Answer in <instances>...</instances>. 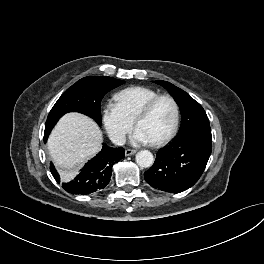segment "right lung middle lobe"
Wrapping results in <instances>:
<instances>
[{"label": "right lung middle lobe", "instance_id": "right-lung-middle-lobe-1", "mask_svg": "<svg viewBox=\"0 0 264 264\" xmlns=\"http://www.w3.org/2000/svg\"><path fill=\"white\" fill-rule=\"evenodd\" d=\"M124 81L112 77L88 76L68 88L51 109L44 136H48L54 125L67 112H80L101 124L100 102L111 89Z\"/></svg>", "mask_w": 264, "mask_h": 264}]
</instances>
